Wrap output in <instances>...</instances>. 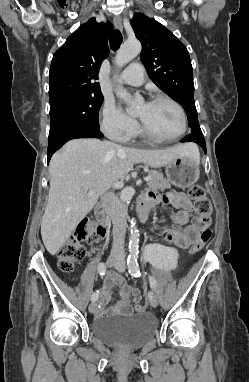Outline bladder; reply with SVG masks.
<instances>
[{
  "label": "bladder",
  "mask_w": 249,
  "mask_h": 382,
  "mask_svg": "<svg viewBox=\"0 0 249 382\" xmlns=\"http://www.w3.org/2000/svg\"><path fill=\"white\" fill-rule=\"evenodd\" d=\"M95 337L122 350L136 349L152 340L158 332L157 319L147 313L111 315L96 319L92 325Z\"/></svg>",
  "instance_id": "obj_1"
}]
</instances>
